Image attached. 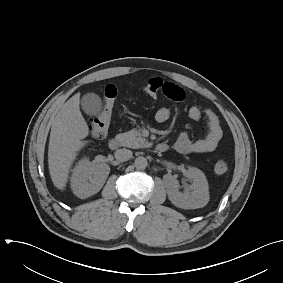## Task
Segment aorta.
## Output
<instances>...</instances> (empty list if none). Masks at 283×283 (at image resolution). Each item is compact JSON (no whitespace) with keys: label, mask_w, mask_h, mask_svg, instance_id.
I'll return each instance as SVG.
<instances>
[{"label":"aorta","mask_w":283,"mask_h":283,"mask_svg":"<svg viewBox=\"0 0 283 283\" xmlns=\"http://www.w3.org/2000/svg\"><path fill=\"white\" fill-rule=\"evenodd\" d=\"M134 165L138 170H143L148 166V162L145 157L139 156L135 159Z\"/></svg>","instance_id":"1"}]
</instances>
